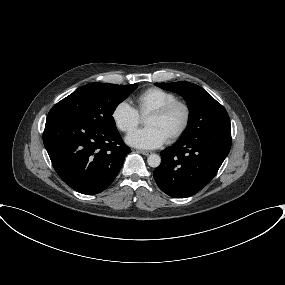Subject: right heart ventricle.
<instances>
[{"instance_id": "obj_1", "label": "right heart ventricle", "mask_w": 285, "mask_h": 285, "mask_svg": "<svg viewBox=\"0 0 285 285\" xmlns=\"http://www.w3.org/2000/svg\"><path fill=\"white\" fill-rule=\"evenodd\" d=\"M176 99V95L170 91L158 87L143 90L134 98L135 109L139 115H147L150 111Z\"/></svg>"}]
</instances>
